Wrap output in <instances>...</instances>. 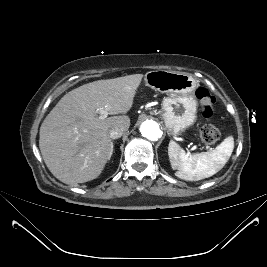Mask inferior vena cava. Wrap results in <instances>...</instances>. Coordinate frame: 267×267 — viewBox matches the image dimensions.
Segmentation results:
<instances>
[{
  "label": "inferior vena cava",
  "mask_w": 267,
  "mask_h": 267,
  "mask_svg": "<svg viewBox=\"0 0 267 267\" xmlns=\"http://www.w3.org/2000/svg\"><path fill=\"white\" fill-rule=\"evenodd\" d=\"M123 132H124V128L117 126V127L112 128L109 131V136L112 139H117L122 136Z\"/></svg>",
  "instance_id": "obj_1"
}]
</instances>
